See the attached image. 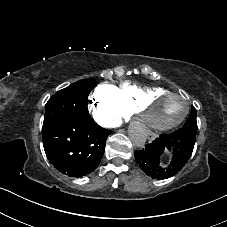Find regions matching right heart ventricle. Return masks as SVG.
Instances as JSON below:
<instances>
[{
	"instance_id": "1",
	"label": "right heart ventricle",
	"mask_w": 227,
	"mask_h": 227,
	"mask_svg": "<svg viewBox=\"0 0 227 227\" xmlns=\"http://www.w3.org/2000/svg\"><path fill=\"white\" fill-rule=\"evenodd\" d=\"M121 100L129 113L137 111L142 101L156 93L168 91L161 86H141L131 82H123L118 88Z\"/></svg>"
}]
</instances>
